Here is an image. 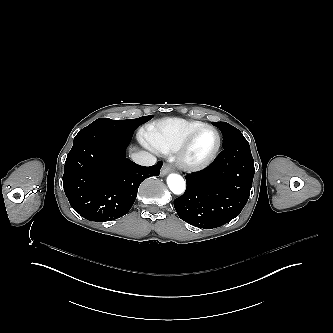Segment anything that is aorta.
<instances>
[{
	"label": "aorta",
	"instance_id": "762f6f07",
	"mask_svg": "<svg viewBox=\"0 0 333 333\" xmlns=\"http://www.w3.org/2000/svg\"><path fill=\"white\" fill-rule=\"evenodd\" d=\"M167 184L170 191L174 195H182L186 191V183L182 176L178 174H170L167 178Z\"/></svg>",
	"mask_w": 333,
	"mask_h": 333
}]
</instances>
